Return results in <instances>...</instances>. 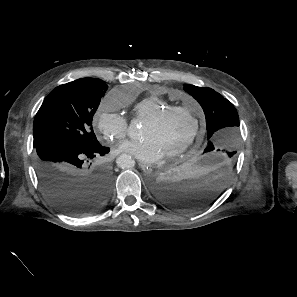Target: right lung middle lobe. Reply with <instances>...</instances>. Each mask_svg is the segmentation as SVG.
Returning <instances> with one entry per match:
<instances>
[{"label": "right lung middle lobe", "instance_id": "obj_1", "mask_svg": "<svg viewBox=\"0 0 297 297\" xmlns=\"http://www.w3.org/2000/svg\"><path fill=\"white\" fill-rule=\"evenodd\" d=\"M86 79L58 86L46 97L34 119V146L54 139L82 147L99 145L92 119L108 86L100 79Z\"/></svg>", "mask_w": 297, "mask_h": 297}]
</instances>
